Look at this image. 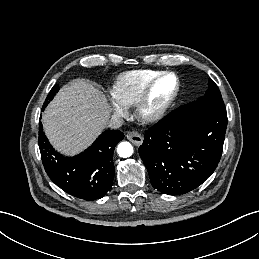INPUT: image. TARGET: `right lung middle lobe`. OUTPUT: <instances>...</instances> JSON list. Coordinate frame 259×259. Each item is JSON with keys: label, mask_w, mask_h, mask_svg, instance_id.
Masks as SVG:
<instances>
[{"label": "right lung middle lobe", "mask_w": 259, "mask_h": 259, "mask_svg": "<svg viewBox=\"0 0 259 259\" xmlns=\"http://www.w3.org/2000/svg\"><path fill=\"white\" fill-rule=\"evenodd\" d=\"M58 90H59V86L54 85L53 88L51 89V91L49 92V94L44 102L43 107H46L48 105L49 101H51L54 98V96L58 92Z\"/></svg>", "instance_id": "right-lung-middle-lobe-1"}]
</instances>
